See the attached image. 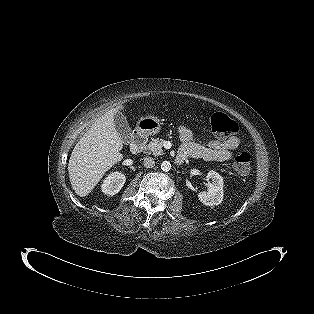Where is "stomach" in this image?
Returning a JSON list of instances; mask_svg holds the SVG:
<instances>
[{
    "mask_svg": "<svg viewBox=\"0 0 314 314\" xmlns=\"http://www.w3.org/2000/svg\"><path fill=\"white\" fill-rule=\"evenodd\" d=\"M162 122L158 117L146 116L137 122L136 131L142 136L156 135L161 131Z\"/></svg>",
    "mask_w": 314,
    "mask_h": 314,
    "instance_id": "obj_1",
    "label": "stomach"
}]
</instances>
